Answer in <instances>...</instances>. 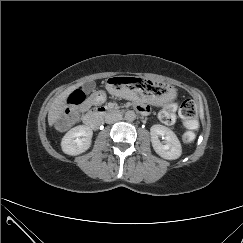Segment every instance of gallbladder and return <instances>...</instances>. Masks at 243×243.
I'll return each mask as SVG.
<instances>
[{
  "mask_svg": "<svg viewBox=\"0 0 243 243\" xmlns=\"http://www.w3.org/2000/svg\"><path fill=\"white\" fill-rule=\"evenodd\" d=\"M94 88H95V82H93V81L87 82V83L84 85V90H85L87 93H90L91 91H93Z\"/></svg>",
  "mask_w": 243,
  "mask_h": 243,
  "instance_id": "obj_1",
  "label": "gallbladder"
}]
</instances>
